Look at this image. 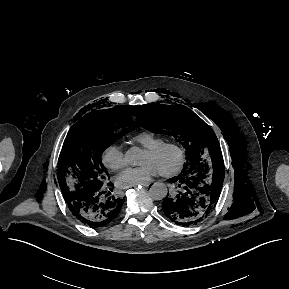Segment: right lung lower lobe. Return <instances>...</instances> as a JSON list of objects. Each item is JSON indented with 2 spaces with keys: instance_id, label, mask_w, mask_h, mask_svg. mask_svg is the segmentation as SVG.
<instances>
[{
  "instance_id": "1",
  "label": "right lung lower lobe",
  "mask_w": 289,
  "mask_h": 289,
  "mask_svg": "<svg viewBox=\"0 0 289 289\" xmlns=\"http://www.w3.org/2000/svg\"><path fill=\"white\" fill-rule=\"evenodd\" d=\"M107 185H112L108 183ZM106 186L66 199L69 210L80 222L91 228L103 227L119 214L124 198L107 192ZM112 191V189L110 188Z\"/></svg>"
}]
</instances>
